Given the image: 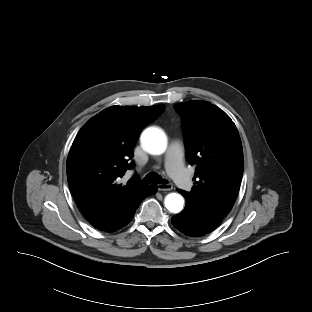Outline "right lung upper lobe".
<instances>
[{
  "mask_svg": "<svg viewBox=\"0 0 312 312\" xmlns=\"http://www.w3.org/2000/svg\"><path fill=\"white\" fill-rule=\"evenodd\" d=\"M165 106H111L92 117L78 132L67 158V180L74 200L87 220L107 231L127 214L146 185L134 175L120 178L134 166L128 162L140 131Z\"/></svg>",
  "mask_w": 312,
  "mask_h": 312,
  "instance_id": "right-lung-upper-lobe-1",
  "label": "right lung upper lobe"
}]
</instances>
